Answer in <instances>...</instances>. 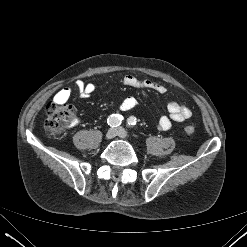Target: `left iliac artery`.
<instances>
[{
    "mask_svg": "<svg viewBox=\"0 0 247 247\" xmlns=\"http://www.w3.org/2000/svg\"><path fill=\"white\" fill-rule=\"evenodd\" d=\"M136 124V118L134 116H130L127 119V126L130 128H133V126Z\"/></svg>",
    "mask_w": 247,
    "mask_h": 247,
    "instance_id": "left-iliac-artery-1",
    "label": "left iliac artery"
}]
</instances>
